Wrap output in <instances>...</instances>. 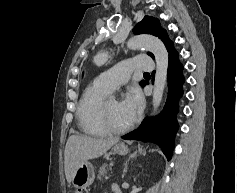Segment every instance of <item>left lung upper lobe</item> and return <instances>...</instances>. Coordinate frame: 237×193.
Masks as SVG:
<instances>
[{
  "label": "left lung upper lobe",
  "instance_id": "5c2ea615",
  "mask_svg": "<svg viewBox=\"0 0 237 193\" xmlns=\"http://www.w3.org/2000/svg\"><path fill=\"white\" fill-rule=\"evenodd\" d=\"M133 31L136 34L147 33L159 37L164 42L166 48H168L172 43L166 31L160 26L159 20L151 16H145L143 20L135 26ZM147 54L154 59L152 53L148 52ZM144 84L145 81L140 82V85Z\"/></svg>",
  "mask_w": 237,
  "mask_h": 193
}]
</instances>
